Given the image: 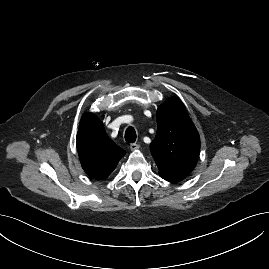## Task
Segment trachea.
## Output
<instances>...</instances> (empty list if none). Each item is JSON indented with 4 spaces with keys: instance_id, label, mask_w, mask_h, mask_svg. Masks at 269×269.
<instances>
[{
    "instance_id": "trachea-1",
    "label": "trachea",
    "mask_w": 269,
    "mask_h": 269,
    "mask_svg": "<svg viewBox=\"0 0 269 269\" xmlns=\"http://www.w3.org/2000/svg\"><path fill=\"white\" fill-rule=\"evenodd\" d=\"M125 140L129 143H134L136 141V131L132 126L126 129Z\"/></svg>"
}]
</instances>
